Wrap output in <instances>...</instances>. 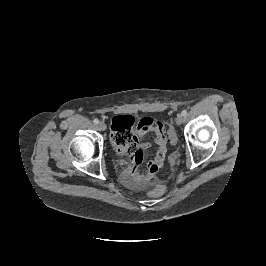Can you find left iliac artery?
<instances>
[{
  "instance_id": "obj_1",
  "label": "left iliac artery",
  "mask_w": 266,
  "mask_h": 266,
  "mask_svg": "<svg viewBox=\"0 0 266 266\" xmlns=\"http://www.w3.org/2000/svg\"><path fill=\"white\" fill-rule=\"evenodd\" d=\"M181 114H182L183 116H186V115H187V111H186V110H183V111L181 112Z\"/></svg>"
}]
</instances>
